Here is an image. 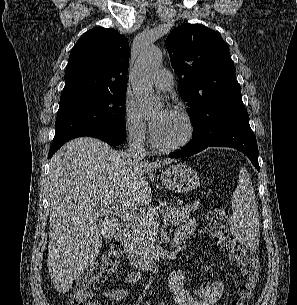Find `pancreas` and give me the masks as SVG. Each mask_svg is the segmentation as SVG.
<instances>
[{"instance_id":"obj_1","label":"pancreas","mask_w":297,"mask_h":305,"mask_svg":"<svg viewBox=\"0 0 297 305\" xmlns=\"http://www.w3.org/2000/svg\"><path fill=\"white\" fill-rule=\"evenodd\" d=\"M156 207L150 209L142 218L133 221L132 224V239L136 250L147 259H153L156 257V243L159 242L155 235L158 232ZM197 206L195 204H189L185 207L170 205L167 210L163 212L166 213V218L169 223L174 225H179L186 222L189 218L191 212L195 211ZM155 210V212H153Z\"/></svg>"}]
</instances>
